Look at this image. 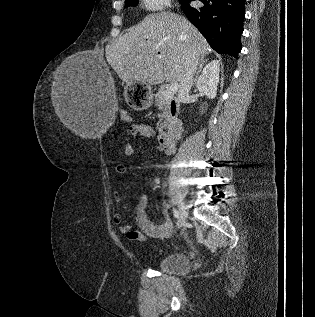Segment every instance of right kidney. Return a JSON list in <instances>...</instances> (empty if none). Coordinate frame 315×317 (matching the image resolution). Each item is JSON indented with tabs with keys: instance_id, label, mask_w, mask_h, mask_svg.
Listing matches in <instances>:
<instances>
[{
	"instance_id": "obj_1",
	"label": "right kidney",
	"mask_w": 315,
	"mask_h": 317,
	"mask_svg": "<svg viewBox=\"0 0 315 317\" xmlns=\"http://www.w3.org/2000/svg\"><path fill=\"white\" fill-rule=\"evenodd\" d=\"M219 70V61L213 60L205 66L197 81V89L203 92L209 99L216 97L219 83Z\"/></svg>"
}]
</instances>
